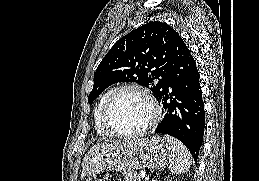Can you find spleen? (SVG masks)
Instances as JSON below:
<instances>
[{"label": "spleen", "mask_w": 259, "mask_h": 181, "mask_svg": "<svg viewBox=\"0 0 259 181\" xmlns=\"http://www.w3.org/2000/svg\"><path fill=\"white\" fill-rule=\"evenodd\" d=\"M170 151L171 161L169 169L173 174H183L189 170L192 164V157L187 147L176 138L165 135Z\"/></svg>", "instance_id": "spleen-1"}]
</instances>
